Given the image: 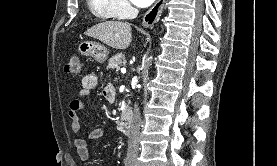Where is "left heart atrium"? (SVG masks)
<instances>
[{
    "label": "left heart atrium",
    "mask_w": 277,
    "mask_h": 166,
    "mask_svg": "<svg viewBox=\"0 0 277 166\" xmlns=\"http://www.w3.org/2000/svg\"><path fill=\"white\" fill-rule=\"evenodd\" d=\"M153 1L154 0H131V2L138 7H147L153 3Z\"/></svg>",
    "instance_id": "39dd6f15"
}]
</instances>
